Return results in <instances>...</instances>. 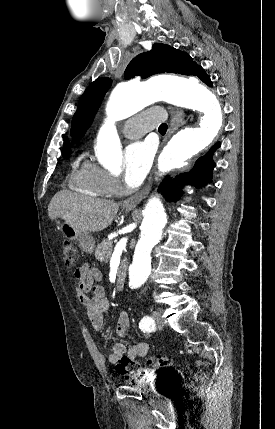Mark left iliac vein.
Segmentation results:
<instances>
[{
  "label": "left iliac vein",
  "mask_w": 275,
  "mask_h": 429,
  "mask_svg": "<svg viewBox=\"0 0 275 429\" xmlns=\"http://www.w3.org/2000/svg\"><path fill=\"white\" fill-rule=\"evenodd\" d=\"M152 317L156 323V326L161 329L163 327V320L161 318V314L157 311H154L152 313Z\"/></svg>",
  "instance_id": "obj_1"
}]
</instances>
